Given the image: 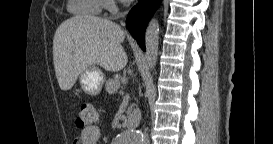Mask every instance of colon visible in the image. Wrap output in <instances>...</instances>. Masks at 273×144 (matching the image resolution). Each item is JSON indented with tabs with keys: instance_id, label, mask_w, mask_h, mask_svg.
I'll return each mask as SVG.
<instances>
[{
	"instance_id": "1",
	"label": "colon",
	"mask_w": 273,
	"mask_h": 144,
	"mask_svg": "<svg viewBox=\"0 0 273 144\" xmlns=\"http://www.w3.org/2000/svg\"><path fill=\"white\" fill-rule=\"evenodd\" d=\"M98 122V112L95 106L90 102L81 105L77 114L75 124L78 129L94 127Z\"/></svg>"
}]
</instances>
